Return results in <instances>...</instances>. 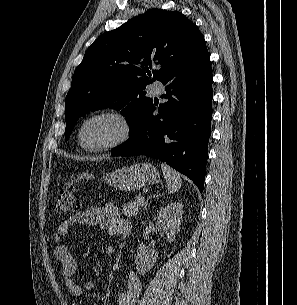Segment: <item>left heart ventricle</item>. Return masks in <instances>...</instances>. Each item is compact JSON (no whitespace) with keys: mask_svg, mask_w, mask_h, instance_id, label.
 <instances>
[{"mask_svg":"<svg viewBox=\"0 0 297 305\" xmlns=\"http://www.w3.org/2000/svg\"><path fill=\"white\" fill-rule=\"evenodd\" d=\"M120 133L117 122L101 118L89 122L83 131L84 141L88 144H102L115 139Z\"/></svg>","mask_w":297,"mask_h":305,"instance_id":"left-heart-ventricle-1","label":"left heart ventricle"}]
</instances>
